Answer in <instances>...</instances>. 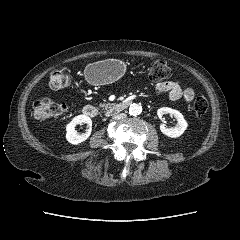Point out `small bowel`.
Listing matches in <instances>:
<instances>
[{"mask_svg": "<svg viewBox=\"0 0 240 240\" xmlns=\"http://www.w3.org/2000/svg\"><path fill=\"white\" fill-rule=\"evenodd\" d=\"M153 88L156 92L167 93L171 101L190 103L195 96V90L193 88H183L181 82L177 79L156 82Z\"/></svg>", "mask_w": 240, "mask_h": 240, "instance_id": "obj_1", "label": "small bowel"}]
</instances>
